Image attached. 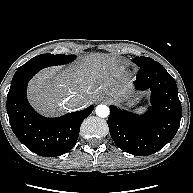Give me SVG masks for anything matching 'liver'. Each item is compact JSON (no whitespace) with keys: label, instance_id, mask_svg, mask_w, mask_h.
I'll use <instances>...</instances> for the list:
<instances>
[{"label":"liver","instance_id":"1","mask_svg":"<svg viewBox=\"0 0 193 193\" xmlns=\"http://www.w3.org/2000/svg\"><path fill=\"white\" fill-rule=\"evenodd\" d=\"M131 83L117 71L116 61L104 54L86 57L68 68H46L29 83L31 104L46 115L59 114L63 103L74 95L84 98L85 105L93 103L99 94L124 97ZM68 108H72L67 104Z\"/></svg>","mask_w":193,"mask_h":193}]
</instances>
